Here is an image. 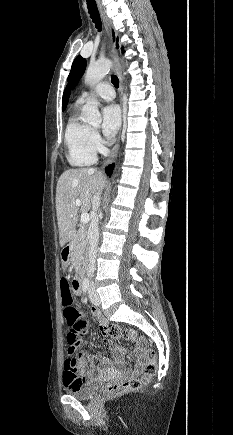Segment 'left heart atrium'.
<instances>
[{
    "instance_id": "obj_1",
    "label": "left heart atrium",
    "mask_w": 233,
    "mask_h": 435,
    "mask_svg": "<svg viewBox=\"0 0 233 435\" xmlns=\"http://www.w3.org/2000/svg\"><path fill=\"white\" fill-rule=\"evenodd\" d=\"M120 111L116 105H109L102 110V132L106 139H112L120 126Z\"/></svg>"
}]
</instances>
